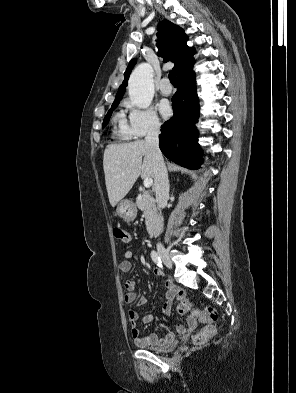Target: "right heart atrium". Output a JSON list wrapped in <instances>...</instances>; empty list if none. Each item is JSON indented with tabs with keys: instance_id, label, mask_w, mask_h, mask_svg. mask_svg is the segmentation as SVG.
Masks as SVG:
<instances>
[{
	"instance_id": "1",
	"label": "right heart atrium",
	"mask_w": 296,
	"mask_h": 393,
	"mask_svg": "<svg viewBox=\"0 0 296 393\" xmlns=\"http://www.w3.org/2000/svg\"><path fill=\"white\" fill-rule=\"evenodd\" d=\"M129 108V131L134 138L156 134L161 129V121L151 107L139 108L127 103Z\"/></svg>"
}]
</instances>
